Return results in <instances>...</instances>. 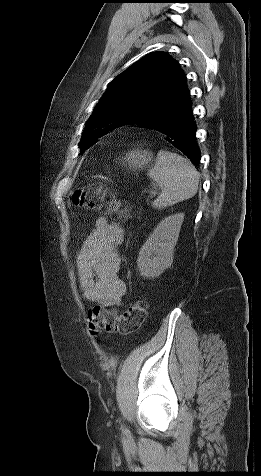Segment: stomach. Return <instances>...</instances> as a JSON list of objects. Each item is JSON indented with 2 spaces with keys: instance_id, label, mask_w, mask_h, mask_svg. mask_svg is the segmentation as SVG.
<instances>
[{
  "instance_id": "1",
  "label": "stomach",
  "mask_w": 261,
  "mask_h": 476,
  "mask_svg": "<svg viewBox=\"0 0 261 476\" xmlns=\"http://www.w3.org/2000/svg\"><path fill=\"white\" fill-rule=\"evenodd\" d=\"M120 161L125 165L128 164L130 169H142L152 161V153L147 150L133 149L128 151Z\"/></svg>"
}]
</instances>
